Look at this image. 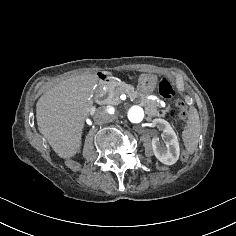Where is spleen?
Segmentation results:
<instances>
[{
	"label": "spleen",
	"mask_w": 236,
	"mask_h": 236,
	"mask_svg": "<svg viewBox=\"0 0 236 236\" xmlns=\"http://www.w3.org/2000/svg\"><path fill=\"white\" fill-rule=\"evenodd\" d=\"M186 124L187 127L182 132V139L186 150L193 154L198 147L200 137V119L197 109L190 108Z\"/></svg>",
	"instance_id": "spleen-1"
}]
</instances>
